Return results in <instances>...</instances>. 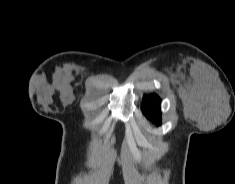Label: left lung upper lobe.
<instances>
[{"mask_svg":"<svg viewBox=\"0 0 235 184\" xmlns=\"http://www.w3.org/2000/svg\"><path fill=\"white\" fill-rule=\"evenodd\" d=\"M142 111L153 122L161 123L160 98L157 95L151 94L144 97Z\"/></svg>","mask_w":235,"mask_h":184,"instance_id":"left-lung-upper-lobe-1","label":"left lung upper lobe"}]
</instances>
